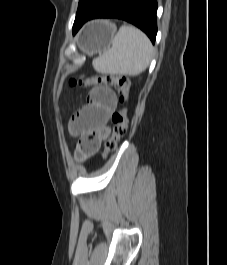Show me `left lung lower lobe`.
Masks as SVG:
<instances>
[{
  "instance_id": "0a47b994",
  "label": "left lung lower lobe",
  "mask_w": 227,
  "mask_h": 265,
  "mask_svg": "<svg viewBox=\"0 0 227 265\" xmlns=\"http://www.w3.org/2000/svg\"><path fill=\"white\" fill-rule=\"evenodd\" d=\"M157 0H105L91 15L73 25V34L88 20L118 18L132 23L144 31L155 43Z\"/></svg>"
}]
</instances>
